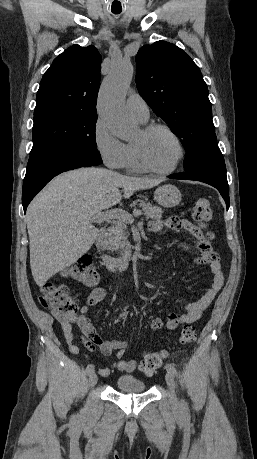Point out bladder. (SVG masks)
Instances as JSON below:
<instances>
[{"label":"bladder","mask_w":257,"mask_h":459,"mask_svg":"<svg viewBox=\"0 0 257 459\" xmlns=\"http://www.w3.org/2000/svg\"><path fill=\"white\" fill-rule=\"evenodd\" d=\"M115 389L122 393H143L146 383L132 375H120L115 381Z\"/></svg>","instance_id":"1"}]
</instances>
